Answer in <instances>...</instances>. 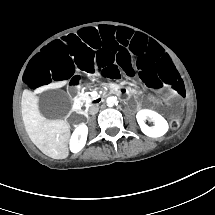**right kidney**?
I'll list each match as a JSON object with an SVG mask.
<instances>
[{
    "label": "right kidney",
    "instance_id": "obj_1",
    "mask_svg": "<svg viewBox=\"0 0 215 215\" xmlns=\"http://www.w3.org/2000/svg\"><path fill=\"white\" fill-rule=\"evenodd\" d=\"M77 134L75 135V132ZM88 134V127L85 124L79 125L75 131L73 132L71 139H70V150L73 153L79 152L86 144ZM80 139L78 140V138Z\"/></svg>",
    "mask_w": 215,
    "mask_h": 215
}]
</instances>
